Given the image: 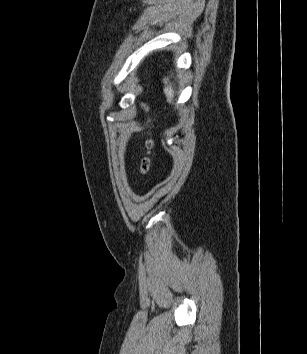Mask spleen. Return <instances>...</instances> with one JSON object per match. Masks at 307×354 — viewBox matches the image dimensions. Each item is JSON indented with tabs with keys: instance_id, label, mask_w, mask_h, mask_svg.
Returning <instances> with one entry per match:
<instances>
[{
	"instance_id": "3e777b00",
	"label": "spleen",
	"mask_w": 307,
	"mask_h": 354,
	"mask_svg": "<svg viewBox=\"0 0 307 354\" xmlns=\"http://www.w3.org/2000/svg\"><path fill=\"white\" fill-rule=\"evenodd\" d=\"M163 82L165 84V88H164V93L167 97V101L169 103H171L173 101V97H174V90L172 87V84L169 82V78H164Z\"/></svg>"
}]
</instances>
